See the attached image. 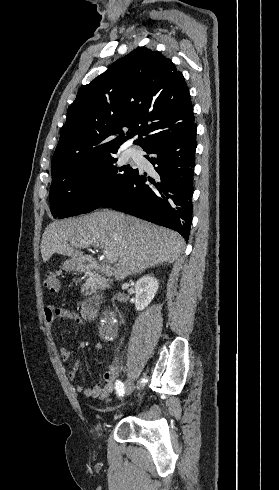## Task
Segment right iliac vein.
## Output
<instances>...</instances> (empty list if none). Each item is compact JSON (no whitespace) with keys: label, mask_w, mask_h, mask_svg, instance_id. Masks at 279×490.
I'll list each match as a JSON object with an SVG mask.
<instances>
[{"label":"right iliac vein","mask_w":279,"mask_h":490,"mask_svg":"<svg viewBox=\"0 0 279 490\" xmlns=\"http://www.w3.org/2000/svg\"><path fill=\"white\" fill-rule=\"evenodd\" d=\"M133 389H134V386L132 385V383L130 381H127L126 382V390H125V393L127 395H129V394L132 393Z\"/></svg>","instance_id":"63e3f726"}]
</instances>
